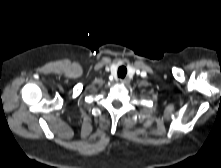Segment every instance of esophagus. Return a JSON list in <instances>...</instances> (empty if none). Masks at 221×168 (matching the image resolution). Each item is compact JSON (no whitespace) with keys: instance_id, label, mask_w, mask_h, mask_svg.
I'll return each instance as SVG.
<instances>
[{"instance_id":"obj_1","label":"esophagus","mask_w":221,"mask_h":168,"mask_svg":"<svg viewBox=\"0 0 221 168\" xmlns=\"http://www.w3.org/2000/svg\"><path fill=\"white\" fill-rule=\"evenodd\" d=\"M120 83H122V84H128V83H129V79H128V78L120 79Z\"/></svg>"}]
</instances>
